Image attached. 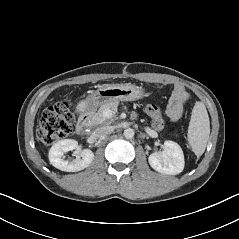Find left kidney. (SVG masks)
I'll list each match as a JSON object with an SVG mask.
<instances>
[{"label":"left kidney","mask_w":239,"mask_h":239,"mask_svg":"<svg viewBox=\"0 0 239 239\" xmlns=\"http://www.w3.org/2000/svg\"><path fill=\"white\" fill-rule=\"evenodd\" d=\"M148 161L154 170L167 175L181 173L185 164L181 147L169 140L164 142L163 151L152 153Z\"/></svg>","instance_id":"obj_1"}]
</instances>
